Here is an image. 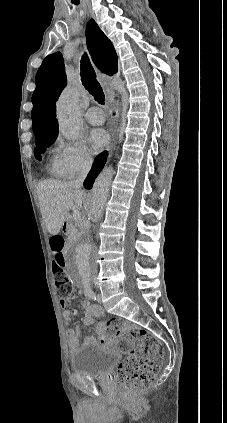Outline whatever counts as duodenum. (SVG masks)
<instances>
[{
	"mask_svg": "<svg viewBox=\"0 0 227 423\" xmlns=\"http://www.w3.org/2000/svg\"><path fill=\"white\" fill-rule=\"evenodd\" d=\"M68 232H69L68 230H67V231H65V235H68Z\"/></svg>",
	"mask_w": 227,
	"mask_h": 423,
	"instance_id": "1",
	"label": "duodenum"
}]
</instances>
